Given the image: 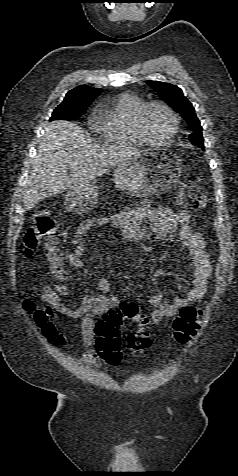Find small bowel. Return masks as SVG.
Wrapping results in <instances>:
<instances>
[{
    "label": "small bowel",
    "instance_id": "obj_1",
    "mask_svg": "<svg viewBox=\"0 0 238 476\" xmlns=\"http://www.w3.org/2000/svg\"><path fill=\"white\" fill-rule=\"evenodd\" d=\"M107 227L120 228L124 238L132 243L142 245L144 252H149L148 242L155 237H170L175 232L182 246L186 249L188 260L192 268L191 286L185 295L175 298L171 303H163L161 295L151 297L150 303L156 309L150 315L152 324H165L182 308L198 302L207 291L212 274L209 254L206 250L203 236L195 231L190 224V216L183 211H174L169 208L141 206L123 210L119 213L91 218L83 221L72 240L74 251L67 253L70 265L78 270L85 269L82 254L86 249L84 236L89 232ZM64 270V268H63ZM66 278L56 276L51 284L42 288V299L57 312L81 321L82 345L90 347L97 338L96 318L102 317L111 308L118 307L121 302L118 297L110 294L111 284L107 279L98 283V293L86 295L75 306L63 302L69 296ZM101 356L97 350L89 349L82 354V361L86 365L96 366Z\"/></svg>",
    "mask_w": 238,
    "mask_h": 476
}]
</instances>
